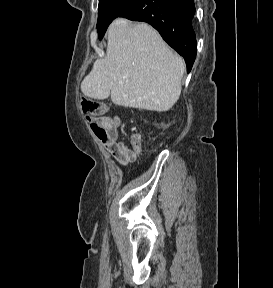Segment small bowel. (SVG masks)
I'll return each mask as SVG.
<instances>
[{
    "label": "small bowel",
    "mask_w": 273,
    "mask_h": 288,
    "mask_svg": "<svg viewBox=\"0 0 273 288\" xmlns=\"http://www.w3.org/2000/svg\"><path fill=\"white\" fill-rule=\"evenodd\" d=\"M100 125L106 131L107 137L100 139L104 147L122 165L135 162L139 156L141 146L139 142H133L132 148L118 142L121 120L118 117H103L99 120Z\"/></svg>",
    "instance_id": "small-bowel-1"
}]
</instances>
